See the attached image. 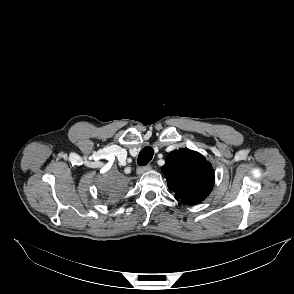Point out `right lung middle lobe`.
<instances>
[{
  "label": "right lung middle lobe",
  "instance_id": "right-lung-middle-lobe-1",
  "mask_svg": "<svg viewBox=\"0 0 294 294\" xmlns=\"http://www.w3.org/2000/svg\"><path fill=\"white\" fill-rule=\"evenodd\" d=\"M99 188L105 203L118 199L123 192V183L117 176L109 175L99 183Z\"/></svg>",
  "mask_w": 294,
  "mask_h": 294
}]
</instances>
